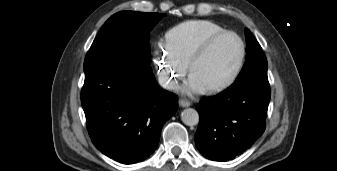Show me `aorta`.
Returning a JSON list of instances; mask_svg holds the SVG:
<instances>
[{"label":"aorta","instance_id":"1","mask_svg":"<svg viewBox=\"0 0 337 171\" xmlns=\"http://www.w3.org/2000/svg\"><path fill=\"white\" fill-rule=\"evenodd\" d=\"M181 120L187 126H195L199 122V114L195 109L187 108L182 111Z\"/></svg>","mask_w":337,"mask_h":171}]
</instances>
